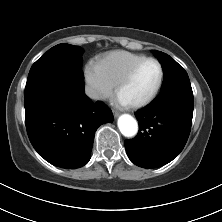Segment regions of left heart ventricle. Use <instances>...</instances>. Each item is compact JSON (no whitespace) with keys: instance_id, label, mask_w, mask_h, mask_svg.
<instances>
[{"instance_id":"obj_1","label":"left heart ventricle","mask_w":222,"mask_h":222,"mask_svg":"<svg viewBox=\"0 0 222 222\" xmlns=\"http://www.w3.org/2000/svg\"><path fill=\"white\" fill-rule=\"evenodd\" d=\"M158 78V66L153 62H147L137 70L129 84L118 95L128 104L140 102L150 95L158 82Z\"/></svg>"}]
</instances>
